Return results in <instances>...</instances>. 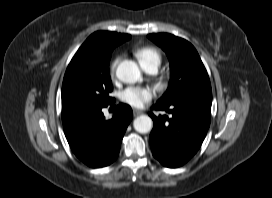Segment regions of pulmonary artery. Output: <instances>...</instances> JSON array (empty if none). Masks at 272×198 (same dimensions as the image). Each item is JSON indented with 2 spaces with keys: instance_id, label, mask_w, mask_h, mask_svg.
Returning a JSON list of instances; mask_svg holds the SVG:
<instances>
[{
  "instance_id": "pulmonary-artery-1",
  "label": "pulmonary artery",
  "mask_w": 272,
  "mask_h": 198,
  "mask_svg": "<svg viewBox=\"0 0 272 198\" xmlns=\"http://www.w3.org/2000/svg\"><path fill=\"white\" fill-rule=\"evenodd\" d=\"M144 69L150 74H155L158 70V66L151 65V66L145 67Z\"/></svg>"
}]
</instances>
